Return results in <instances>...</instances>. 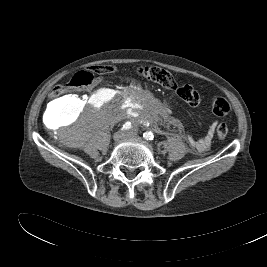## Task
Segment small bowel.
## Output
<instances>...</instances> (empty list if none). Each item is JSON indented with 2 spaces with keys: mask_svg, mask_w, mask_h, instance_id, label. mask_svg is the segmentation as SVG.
Instances as JSON below:
<instances>
[{
  "mask_svg": "<svg viewBox=\"0 0 267 267\" xmlns=\"http://www.w3.org/2000/svg\"><path fill=\"white\" fill-rule=\"evenodd\" d=\"M214 129H215V124H212L209 127L207 133L202 138L198 140H191V144L197 151L204 152L209 148L211 140L213 138Z\"/></svg>",
  "mask_w": 267,
  "mask_h": 267,
  "instance_id": "c3829d8e",
  "label": "small bowel"
}]
</instances>
